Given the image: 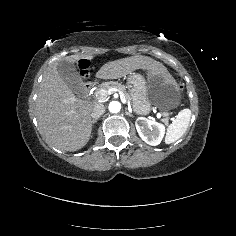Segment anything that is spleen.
<instances>
[{"label": "spleen", "mask_w": 236, "mask_h": 236, "mask_svg": "<svg viewBox=\"0 0 236 236\" xmlns=\"http://www.w3.org/2000/svg\"><path fill=\"white\" fill-rule=\"evenodd\" d=\"M190 119H191V110L190 109L181 110L168 129L167 136L165 139L166 143H173L177 141L179 138H181L184 132L188 128Z\"/></svg>", "instance_id": "1"}]
</instances>
